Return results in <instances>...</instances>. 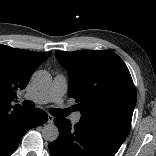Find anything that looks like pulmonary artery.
<instances>
[{"mask_svg":"<svg viewBox=\"0 0 156 156\" xmlns=\"http://www.w3.org/2000/svg\"><path fill=\"white\" fill-rule=\"evenodd\" d=\"M68 83L66 78L58 74L54 77L51 86L43 91H38L33 94H26V97L32 99L36 103H49L54 102L57 104H62L63 96L67 92ZM81 119V113L76 112L72 115L71 120L73 123H78Z\"/></svg>","mask_w":156,"mask_h":156,"instance_id":"1","label":"pulmonary artery"}]
</instances>
